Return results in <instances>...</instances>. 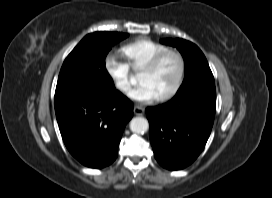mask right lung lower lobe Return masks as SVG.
<instances>
[{
  "instance_id": "1",
  "label": "right lung lower lobe",
  "mask_w": 272,
  "mask_h": 198,
  "mask_svg": "<svg viewBox=\"0 0 272 198\" xmlns=\"http://www.w3.org/2000/svg\"><path fill=\"white\" fill-rule=\"evenodd\" d=\"M63 141L83 165L103 168L118 155V145L133 104L115 88L107 92L83 90L55 99Z\"/></svg>"
}]
</instances>
